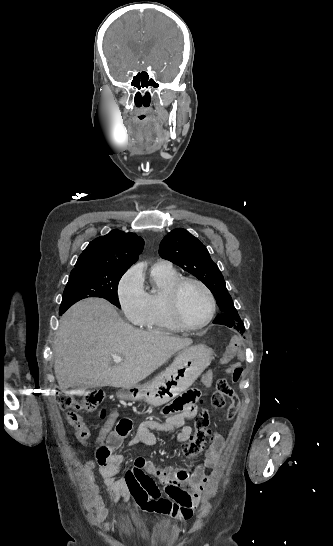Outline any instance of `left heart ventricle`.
Listing matches in <instances>:
<instances>
[{
  "instance_id": "b2bd125f",
  "label": "left heart ventricle",
  "mask_w": 333,
  "mask_h": 546,
  "mask_svg": "<svg viewBox=\"0 0 333 546\" xmlns=\"http://www.w3.org/2000/svg\"><path fill=\"white\" fill-rule=\"evenodd\" d=\"M179 308L185 322L200 324L209 313V300L205 292L196 284L183 286L179 296Z\"/></svg>"
}]
</instances>
